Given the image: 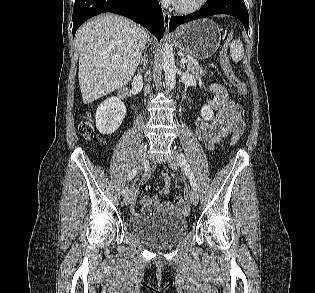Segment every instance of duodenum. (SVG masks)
I'll list each match as a JSON object with an SVG mask.
<instances>
[{"mask_svg":"<svg viewBox=\"0 0 315 293\" xmlns=\"http://www.w3.org/2000/svg\"><path fill=\"white\" fill-rule=\"evenodd\" d=\"M126 94H127V91H126V90H122V91L119 93V96H120L121 98H124V97L126 96Z\"/></svg>","mask_w":315,"mask_h":293,"instance_id":"410a0bca","label":"duodenum"}]
</instances>
